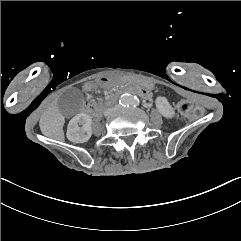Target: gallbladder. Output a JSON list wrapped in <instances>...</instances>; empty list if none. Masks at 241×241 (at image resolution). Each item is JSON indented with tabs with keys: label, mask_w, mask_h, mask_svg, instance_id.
I'll return each mask as SVG.
<instances>
[{
	"label": "gallbladder",
	"mask_w": 241,
	"mask_h": 241,
	"mask_svg": "<svg viewBox=\"0 0 241 241\" xmlns=\"http://www.w3.org/2000/svg\"><path fill=\"white\" fill-rule=\"evenodd\" d=\"M82 92L75 88L68 89L59 99V114L63 118L77 115L82 106Z\"/></svg>",
	"instance_id": "bac80fb5"
}]
</instances>
